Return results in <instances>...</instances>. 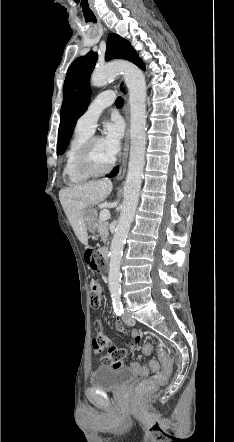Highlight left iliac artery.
Returning <instances> with one entry per match:
<instances>
[{"mask_svg": "<svg viewBox=\"0 0 234 442\" xmlns=\"http://www.w3.org/2000/svg\"><path fill=\"white\" fill-rule=\"evenodd\" d=\"M113 298V307L115 310L116 315L121 316L124 312L123 305L121 302V293H114L112 294Z\"/></svg>", "mask_w": 234, "mask_h": 442, "instance_id": "obj_1", "label": "left iliac artery"}]
</instances>
